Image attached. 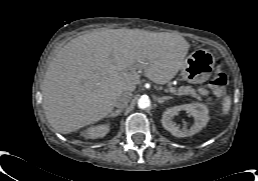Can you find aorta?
Returning <instances> with one entry per match:
<instances>
[{"mask_svg":"<svg viewBox=\"0 0 258 181\" xmlns=\"http://www.w3.org/2000/svg\"><path fill=\"white\" fill-rule=\"evenodd\" d=\"M150 106V99L147 96H141L138 100V107L145 109Z\"/></svg>","mask_w":258,"mask_h":181,"instance_id":"aorta-1","label":"aorta"}]
</instances>
